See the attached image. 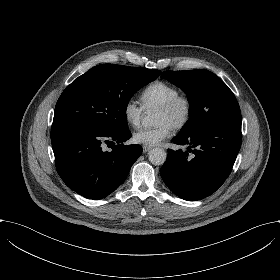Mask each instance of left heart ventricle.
<instances>
[{
	"mask_svg": "<svg viewBox=\"0 0 280 280\" xmlns=\"http://www.w3.org/2000/svg\"><path fill=\"white\" fill-rule=\"evenodd\" d=\"M183 115V108L179 107L175 110L172 111H166V110H162L157 108L156 112H155V124H158L162 121H167L169 123H171L173 126L176 123V121L181 118V116Z\"/></svg>",
	"mask_w": 280,
	"mask_h": 280,
	"instance_id": "left-heart-ventricle-1",
	"label": "left heart ventricle"
}]
</instances>
